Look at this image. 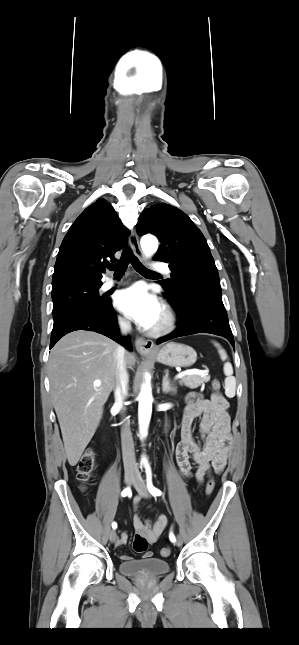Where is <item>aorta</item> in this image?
<instances>
[{
  "mask_svg": "<svg viewBox=\"0 0 299 645\" xmlns=\"http://www.w3.org/2000/svg\"><path fill=\"white\" fill-rule=\"evenodd\" d=\"M141 248L146 257L152 256L158 249V240L154 236H144L141 239ZM139 408V428L140 434L142 437L147 435V429L149 426L151 413H152V392L151 387L148 384H143L141 387L140 394L138 396ZM143 461H146L144 458Z\"/></svg>",
  "mask_w": 299,
  "mask_h": 645,
  "instance_id": "1",
  "label": "aorta"
}]
</instances>
